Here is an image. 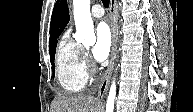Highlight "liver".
I'll list each match as a JSON object with an SVG mask.
<instances>
[{"mask_svg":"<svg viewBox=\"0 0 193 112\" xmlns=\"http://www.w3.org/2000/svg\"><path fill=\"white\" fill-rule=\"evenodd\" d=\"M51 108V112H100L99 102L88 95L58 97Z\"/></svg>","mask_w":193,"mask_h":112,"instance_id":"6515ba94","label":"liver"}]
</instances>
